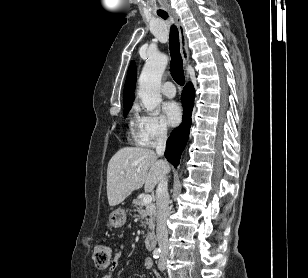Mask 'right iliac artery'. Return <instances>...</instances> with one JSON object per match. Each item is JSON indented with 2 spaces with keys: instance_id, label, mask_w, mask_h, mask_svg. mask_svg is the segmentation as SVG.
<instances>
[{
  "instance_id": "right-iliac-artery-1",
  "label": "right iliac artery",
  "mask_w": 308,
  "mask_h": 278,
  "mask_svg": "<svg viewBox=\"0 0 308 278\" xmlns=\"http://www.w3.org/2000/svg\"><path fill=\"white\" fill-rule=\"evenodd\" d=\"M160 254H161L160 248H156V249L153 251V257H154L155 259L159 258Z\"/></svg>"
}]
</instances>
